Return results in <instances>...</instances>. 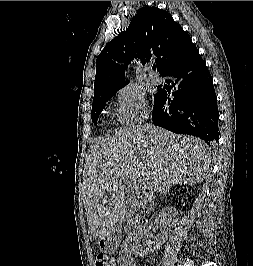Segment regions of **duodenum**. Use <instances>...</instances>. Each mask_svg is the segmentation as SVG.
Returning <instances> with one entry per match:
<instances>
[{
  "label": "duodenum",
  "mask_w": 253,
  "mask_h": 266,
  "mask_svg": "<svg viewBox=\"0 0 253 266\" xmlns=\"http://www.w3.org/2000/svg\"><path fill=\"white\" fill-rule=\"evenodd\" d=\"M105 239H106V241H108L110 243L113 242V240H114V234L113 233L107 234L105 236ZM123 262L124 263H127V262H132V261L129 258L125 257V258H123ZM125 266H128V265H125Z\"/></svg>",
  "instance_id": "obj_1"
}]
</instances>
